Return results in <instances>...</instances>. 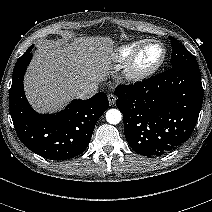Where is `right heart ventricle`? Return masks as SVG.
<instances>
[{"label": "right heart ventricle", "instance_id": "obj_1", "mask_svg": "<svg viewBox=\"0 0 212 212\" xmlns=\"http://www.w3.org/2000/svg\"><path fill=\"white\" fill-rule=\"evenodd\" d=\"M139 44L140 43H133V44H129V45L120 47L116 51V53L114 55V59L116 61H124V60L128 59Z\"/></svg>", "mask_w": 212, "mask_h": 212}]
</instances>
